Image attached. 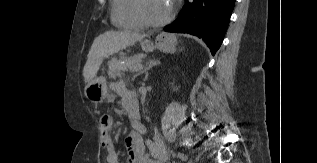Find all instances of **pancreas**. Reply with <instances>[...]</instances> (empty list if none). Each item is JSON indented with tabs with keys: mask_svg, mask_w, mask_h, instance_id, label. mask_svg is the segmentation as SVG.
Returning a JSON list of instances; mask_svg holds the SVG:
<instances>
[{
	"mask_svg": "<svg viewBox=\"0 0 317 163\" xmlns=\"http://www.w3.org/2000/svg\"><path fill=\"white\" fill-rule=\"evenodd\" d=\"M142 58H143L142 55H136L130 58H126V57H121L119 59L112 58L108 62L109 77L110 78L120 77L123 74V72L131 70L134 68V66L141 64Z\"/></svg>",
	"mask_w": 317,
	"mask_h": 163,
	"instance_id": "obj_1",
	"label": "pancreas"
}]
</instances>
